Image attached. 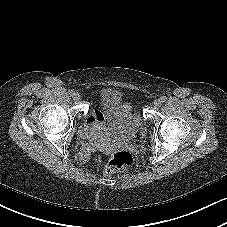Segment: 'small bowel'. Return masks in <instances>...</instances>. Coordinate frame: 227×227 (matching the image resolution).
Wrapping results in <instances>:
<instances>
[{"label":"small bowel","mask_w":227,"mask_h":227,"mask_svg":"<svg viewBox=\"0 0 227 227\" xmlns=\"http://www.w3.org/2000/svg\"><path fill=\"white\" fill-rule=\"evenodd\" d=\"M104 116L101 113H93L86 122L80 127L79 135L90 148L97 145V140L101 136V123Z\"/></svg>","instance_id":"small-bowel-1"}]
</instances>
